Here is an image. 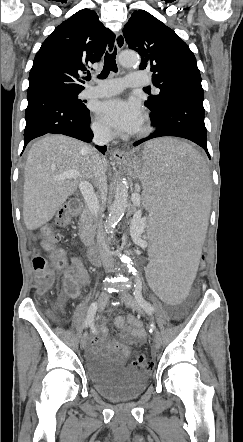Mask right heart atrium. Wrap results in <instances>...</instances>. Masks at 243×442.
Returning a JSON list of instances; mask_svg holds the SVG:
<instances>
[{"label": "right heart atrium", "instance_id": "1", "mask_svg": "<svg viewBox=\"0 0 243 442\" xmlns=\"http://www.w3.org/2000/svg\"><path fill=\"white\" fill-rule=\"evenodd\" d=\"M92 129L96 135L101 137H110L112 134L111 130L100 119H95L92 122Z\"/></svg>", "mask_w": 243, "mask_h": 442}]
</instances>
